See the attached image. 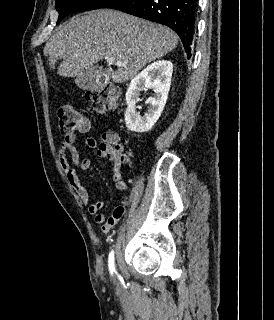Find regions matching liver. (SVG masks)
<instances>
[{"mask_svg":"<svg viewBox=\"0 0 274 320\" xmlns=\"http://www.w3.org/2000/svg\"><path fill=\"white\" fill-rule=\"evenodd\" d=\"M177 44L175 32L166 26L118 10H93L58 26L43 52L52 70L63 60L57 74L66 78H77L103 58H113L114 64L125 66H117L116 72L108 66L105 76L123 84L150 62L175 50Z\"/></svg>","mask_w":274,"mask_h":320,"instance_id":"1","label":"liver"}]
</instances>
